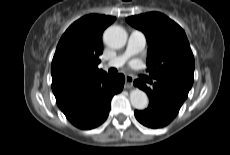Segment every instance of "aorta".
Here are the masks:
<instances>
[{
  "label": "aorta",
  "mask_w": 230,
  "mask_h": 155,
  "mask_svg": "<svg viewBox=\"0 0 230 155\" xmlns=\"http://www.w3.org/2000/svg\"><path fill=\"white\" fill-rule=\"evenodd\" d=\"M103 39L107 46L119 49L126 44L127 33L120 26H110L105 30ZM130 102L134 108L142 110L147 108L149 101L146 93L136 88L130 92Z\"/></svg>",
  "instance_id": "obj_1"
}]
</instances>
